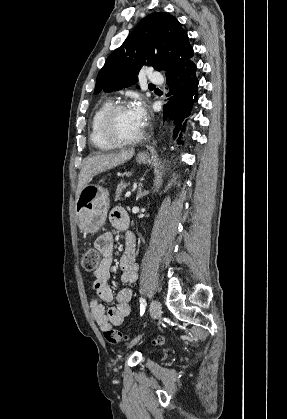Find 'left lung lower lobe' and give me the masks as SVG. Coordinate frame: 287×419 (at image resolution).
<instances>
[{"mask_svg": "<svg viewBox=\"0 0 287 419\" xmlns=\"http://www.w3.org/2000/svg\"><path fill=\"white\" fill-rule=\"evenodd\" d=\"M196 66L190 61L183 68L168 75L171 83L169 96L170 101L164 106V119L166 113L173 116L176 124L174 134L178 133L184 118L188 117L194 102L198 99V79L196 78ZM185 124L183 125L184 128ZM182 128V130H183Z\"/></svg>", "mask_w": 287, "mask_h": 419, "instance_id": "1", "label": "left lung lower lobe"}]
</instances>
